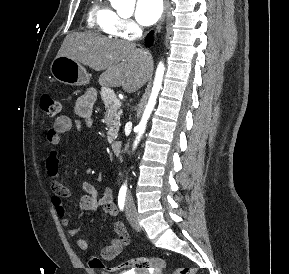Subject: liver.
<instances>
[{"label":"liver","instance_id":"obj_1","mask_svg":"<svg viewBox=\"0 0 289 274\" xmlns=\"http://www.w3.org/2000/svg\"><path fill=\"white\" fill-rule=\"evenodd\" d=\"M57 56L104 71L99 78L101 85L121 86L126 92L141 87L149 62L147 53L134 43L80 32L66 36Z\"/></svg>","mask_w":289,"mask_h":274}]
</instances>
